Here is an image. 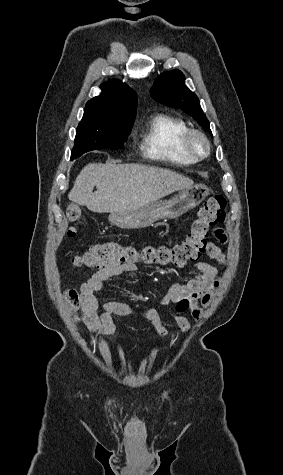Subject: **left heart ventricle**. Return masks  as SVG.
Segmentation results:
<instances>
[{"instance_id": "obj_1", "label": "left heart ventricle", "mask_w": 283, "mask_h": 475, "mask_svg": "<svg viewBox=\"0 0 283 475\" xmlns=\"http://www.w3.org/2000/svg\"><path fill=\"white\" fill-rule=\"evenodd\" d=\"M194 146H195L198 150H204V144H203L202 141L199 140V139H195V140H194Z\"/></svg>"}]
</instances>
